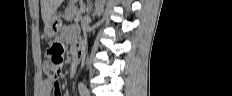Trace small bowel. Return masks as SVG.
Wrapping results in <instances>:
<instances>
[{
    "mask_svg": "<svg viewBox=\"0 0 232 96\" xmlns=\"http://www.w3.org/2000/svg\"><path fill=\"white\" fill-rule=\"evenodd\" d=\"M78 35H82V30H77L72 26H66L62 29L61 34L55 38L54 44H59L62 47H64L67 43L72 46H78L79 43H84V38H79ZM43 68L49 72L50 66L48 63H44ZM54 84L59 87V82H57L53 76L45 78L41 83L40 95L51 96ZM52 96H64V94L59 93L58 90L56 93H53Z\"/></svg>",
    "mask_w": 232,
    "mask_h": 96,
    "instance_id": "obj_1",
    "label": "small bowel"
}]
</instances>
